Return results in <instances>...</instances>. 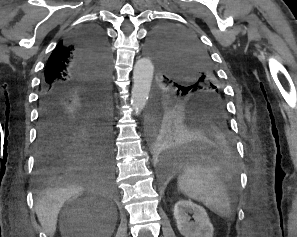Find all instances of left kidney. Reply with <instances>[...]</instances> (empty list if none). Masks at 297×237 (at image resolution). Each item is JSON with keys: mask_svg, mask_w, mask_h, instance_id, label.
<instances>
[{"mask_svg": "<svg viewBox=\"0 0 297 237\" xmlns=\"http://www.w3.org/2000/svg\"><path fill=\"white\" fill-rule=\"evenodd\" d=\"M188 213L193 214L194 222L190 221ZM174 218L184 237H213V225L202 206L188 200H179L174 207Z\"/></svg>", "mask_w": 297, "mask_h": 237, "instance_id": "5707ae66", "label": "left kidney"}]
</instances>
